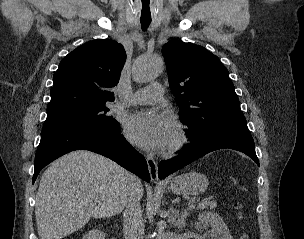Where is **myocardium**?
I'll use <instances>...</instances> for the list:
<instances>
[{"mask_svg":"<svg viewBox=\"0 0 304 239\" xmlns=\"http://www.w3.org/2000/svg\"><path fill=\"white\" fill-rule=\"evenodd\" d=\"M173 140L167 145L168 155L176 154L182 151L190 142V132L186 125L176 123Z\"/></svg>","mask_w":304,"mask_h":239,"instance_id":"f54148a6","label":"myocardium"}]
</instances>
